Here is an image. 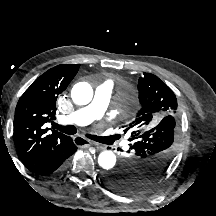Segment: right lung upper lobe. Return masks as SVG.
I'll use <instances>...</instances> for the list:
<instances>
[{"label": "right lung upper lobe", "instance_id": "cb5924a9", "mask_svg": "<svg viewBox=\"0 0 216 216\" xmlns=\"http://www.w3.org/2000/svg\"><path fill=\"white\" fill-rule=\"evenodd\" d=\"M79 67V64H61L49 69L19 99L14 139L19 157L27 168L70 139L56 130L48 132L45 124L55 119L57 97L67 88Z\"/></svg>", "mask_w": 216, "mask_h": 216}]
</instances>
